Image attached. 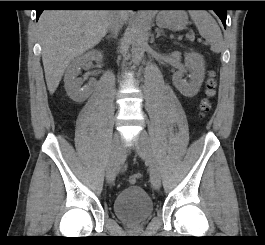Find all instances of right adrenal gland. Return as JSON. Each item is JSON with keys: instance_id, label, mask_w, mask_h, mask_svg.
<instances>
[{"instance_id": "1", "label": "right adrenal gland", "mask_w": 265, "mask_h": 245, "mask_svg": "<svg viewBox=\"0 0 265 245\" xmlns=\"http://www.w3.org/2000/svg\"><path fill=\"white\" fill-rule=\"evenodd\" d=\"M116 38H117V33H113L112 35L106 37L107 40L116 39Z\"/></svg>"}]
</instances>
